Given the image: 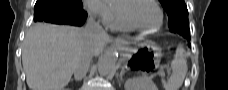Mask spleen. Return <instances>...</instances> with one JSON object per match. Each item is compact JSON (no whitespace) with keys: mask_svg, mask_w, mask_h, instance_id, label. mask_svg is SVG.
<instances>
[{"mask_svg":"<svg viewBox=\"0 0 228 90\" xmlns=\"http://www.w3.org/2000/svg\"><path fill=\"white\" fill-rule=\"evenodd\" d=\"M172 74L166 80H162L165 90H179L182 86L186 73L188 71L187 61L185 59V51L182 47H178L174 58L171 62Z\"/></svg>","mask_w":228,"mask_h":90,"instance_id":"3e777b00","label":"spleen"}]
</instances>
